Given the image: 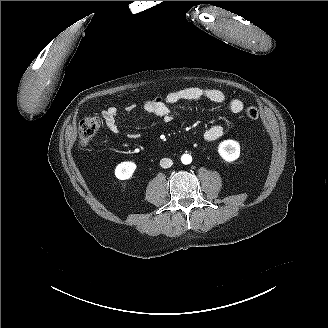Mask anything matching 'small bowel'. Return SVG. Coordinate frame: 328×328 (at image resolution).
I'll return each instance as SVG.
<instances>
[{"label":"small bowel","instance_id":"c3829d8e","mask_svg":"<svg viewBox=\"0 0 328 328\" xmlns=\"http://www.w3.org/2000/svg\"><path fill=\"white\" fill-rule=\"evenodd\" d=\"M207 99L215 104H224L231 113L238 114L244 109V103L238 99H228L224 92L214 88L187 87L177 91L169 92L163 97H155L143 103L142 109L164 122H170L175 117V111L172 105L179 101H196ZM136 109L134 103H130L125 107L127 113H131ZM102 118L106 127L114 134L119 132L118 109L110 106L102 111ZM223 135V128L220 125H214L204 132V139L209 142L218 140ZM130 138L136 135L130 134Z\"/></svg>","mask_w":328,"mask_h":328}]
</instances>
